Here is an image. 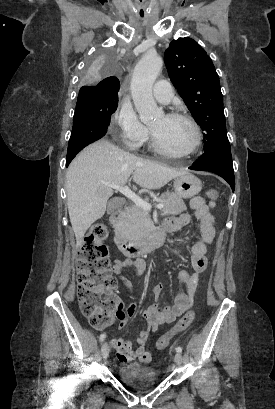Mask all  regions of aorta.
Masks as SVG:
<instances>
[{"label":"aorta","mask_w":275,"mask_h":409,"mask_svg":"<svg viewBox=\"0 0 275 409\" xmlns=\"http://www.w3.org/2000/svg\"><path fill=\"white\" fill-rule=\"evenodd\" d=\"M162 51H145L135 66L131 80V92L137 112L142 122L148 124L163 116V108L157 106L152 94V86L163 66Z\"/></svg>","instance_id":"aorta-1"}]
</instances>
